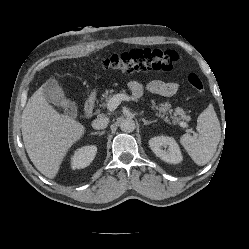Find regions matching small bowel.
<instances>
[{
  "instance_id": "1",
  "label": "small bowel",
  "mask_w": 249,
  "mask_h": 249,
  "mask_svg": "<svg viewBox=\"0 0 249 249\" xmlns=\"http://www.w3.org/2000/svg\"><path fill=\"white\" fill-rule=\"evenodd\" d=\"M129 88L134 97L139 98L143 95L144 87L138 81H131ZM179 89L177 82H164L160 80L151 81L147 86L146 90L151 93L158 94L160 96L169 98L174 96Z\"/></svg>"
}]
</instances>
